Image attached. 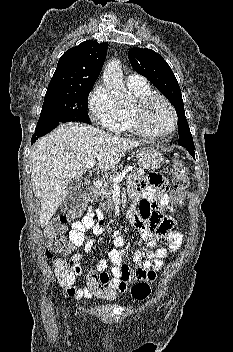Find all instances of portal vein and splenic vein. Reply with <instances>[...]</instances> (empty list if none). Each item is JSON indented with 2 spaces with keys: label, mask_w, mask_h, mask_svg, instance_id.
<instances>
[{
  "label": "portal vein and splenic vein",
  "mask_w": 233,
  "mask_h": 352,
  "mask_svg": "<svg viewBox=\"0 0 233 352\" xmlns=\"http://www.w3.org/2000/svg\"><path fill=\"white\" fill-rule=\"evenodd\" d=\"M85 166L88 169L93 168L95 166V161L93 159H90L89 161L86 162ZM130 170H131V168L128 167L124 171H122V173H120L119 175L114 176L113 182L115 183V185H117L119 182H121L125 178L126 173Z\"/></svg>",
  "instance_id": "obj_1"
}]
</instances>
